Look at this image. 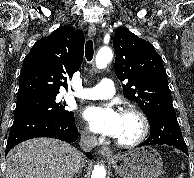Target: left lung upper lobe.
Returning <instances> with one entry per match:
<instances>
[{
    "instance_id": "1",
    "label": "left lung upper lobe",
    "mask_w": 194,
    "mask_h": 178,
    "mask_svg": "<svg viewBox=\"0 0 194 178\" xmlns=\"http://www.w3.org/2000/svg\"><path fill=\"white\" fill-rule=\"evenodd\" d=\"M116 51L115 73L123 94L148 115L156 110L174 109L163 60L153 45L124 27L113 38Z\"/></svg>"
}]
</instances>
